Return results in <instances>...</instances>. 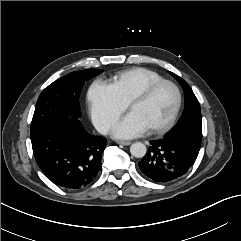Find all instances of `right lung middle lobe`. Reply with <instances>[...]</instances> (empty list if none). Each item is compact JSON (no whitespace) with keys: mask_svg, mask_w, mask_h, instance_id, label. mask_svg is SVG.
<instances>
[{"mask_svg":"<svg viewBox=\"0 0 241 241\" xmlns=\"http://www.w3.org/2000/svg\"><path fill=\"white\" fill-rule=\"evenodd\" d=\"M101 69H86L72 72L46 87L40 94L31 122L33 137L47 126L68 116L80 117L78 98L85 81L100 74Z\"/></svg>","mask_w":241,"mask_h":241,"instance_id":"1","label":"right lung middle lobe"}]
</instances>
